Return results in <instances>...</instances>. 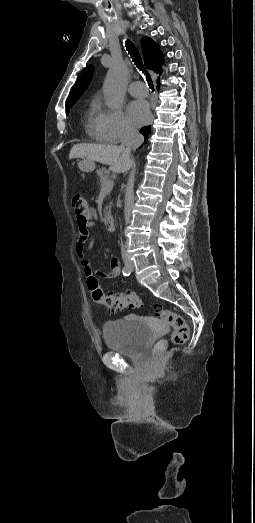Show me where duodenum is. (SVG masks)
<instances>
[{
  "mask_svg": "<svg viewBox=\"0 0 255 523\" xmlns=\"http://www.w3.org/2000/svg\"><path fill=\"white\" fill-rule=\"evenodd\" d=\"M104 223L108 230L114 231L115 230V219L112 215H107L104 218Z\"/></svg>",
  "mask_w": 255,
  "mask_h": 523,
  "instance_id": "obj_1",
  "label": "duodenum"
}]
</instances>
